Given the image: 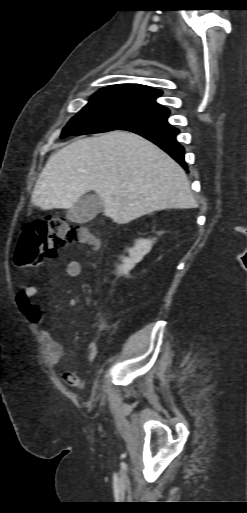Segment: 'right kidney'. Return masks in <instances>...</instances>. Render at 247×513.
<instances>
[{"mask_svg": "<svg viewBox=\"0 0 247 513\" xmlns=\"http://www.w3.org/2000/svg\"><path fill=\"white\" fill-rule=\"evenodd\" d=\"M155 240V238L136 240L134 246L128 250L129 257H123L122 264L117 267L119 273L128 275L129 271L134 268L136 263H139L143 257L150 252Z\"/></svg>", "mask_w": 247, "mask_h": 513, "instance_id": "obj_1", "label": "right kidney"}]
</instances>
